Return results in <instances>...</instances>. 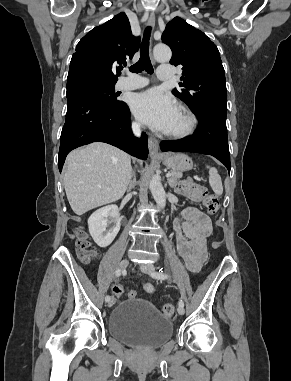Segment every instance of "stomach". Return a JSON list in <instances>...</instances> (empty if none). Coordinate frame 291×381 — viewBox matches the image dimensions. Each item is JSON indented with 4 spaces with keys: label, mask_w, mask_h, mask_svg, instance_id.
I'll use <instances>...</instances> for the list:
<instances>
[{
    "label": "stomach",
    "mask_w": 291,
    "mask_h": 381,
    "mask_svg": "<svg viewBox=\"0 0 291 381\" xmlns=\"http://www.w3.org/2000/svg\"><path fill=\"white\" fill-rule=\"evenodd\" d=\"M163 164L172 171H188L193 167L192 159L183 153L166 154L161 157Z\"/></svg>",
    "instance_id": "0dacf381"
}]
</instances>
